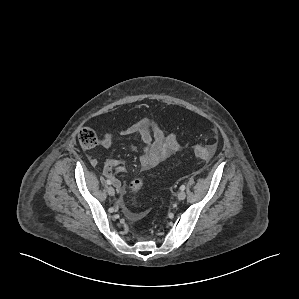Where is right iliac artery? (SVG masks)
Wrapping results in <instances>:
<instances>
[{"mask_svg": "<svg viewBox=\"0 0 299 299\" xmlns=\"http://www.w3.org/2000/svg\"><path fill=\"white\" fill-rule=\"evenodd\" d=\"M106 183H107L108 185H111V184H112L111 180H109V179L106 180Z\"/></svg>", "mask_w": 299, "mask_h": 299, "instance_id": "right-iliac-artery-1", "label": "right iliac artery"}]
</instances>
